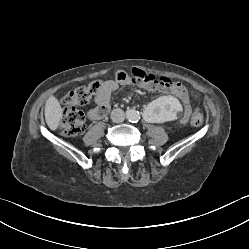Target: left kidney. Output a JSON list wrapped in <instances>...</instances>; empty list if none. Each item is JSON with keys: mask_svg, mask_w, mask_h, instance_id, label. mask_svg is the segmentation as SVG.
Masks as SVG:
<instances>
[{"mask_svg": "<svg viewBox=\"0 0 249 249\" xmlns=\"http://www.w3.org/2000/svg\"><path fill=\"white\" fill-rule=\"evenodd\" d=\"M182 113V104L175 95H168L147 104L142 109L143 120L148 125L160 126L176 121Z\"/></svg>", "mask_w": 249, "mask_h": 249, "instance_id": "1", "label": "left kidney"}]
</instances>
